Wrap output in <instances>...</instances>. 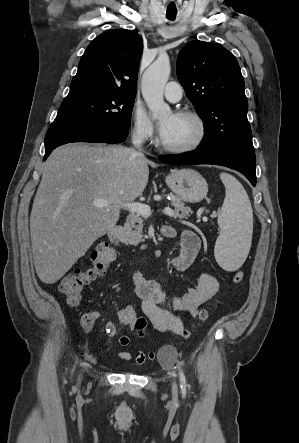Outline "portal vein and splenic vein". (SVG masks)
Segmentation results:
<instances>
[{"mask_svg": "<svg viewBox=\"0 0 299 443\" xmlns=\"http://www.w3.org/2000/svg\"><path fill=\"white\" fill-rule=\"evenodd\" d=\"M93 204L98 208H103L109 206L110 203L107 200L100 198L94 200ZM122 207L125 210H128L131 213L139 214L144 218H148L152 214L151 208L148 205L142 203H137V202L124 203L122 204ZM163 213L168 216H173L174 214L173 210L169 207L164 208Z\"/></svg>", "mask_w": 299, "mask_h": 443, "instance_id": "18ae733b", "label": "portal vein and splenic vein"}]
</instances>
